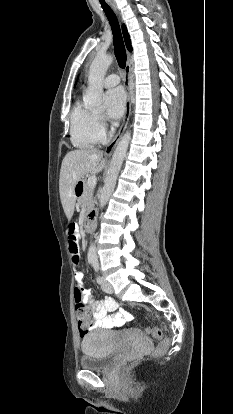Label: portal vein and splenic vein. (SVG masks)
<instances>
[{
    "mask_svg": "<svg viewBox=\"0 0 233 414\" xmlns=\"http://www.w3.org/2000/svg\"><path fill=\"white\" fill-rule=\"evenodd\" d=\"M87 183L90 187H94L97 183V178L95 176H91L88 178Z\"/></svg>",
    "mask_w": 233,
    "mask_h": 414,
    "instance_id": "18ae733b",
    "label": "portal vein and splenic vein"
}]
</instances>
